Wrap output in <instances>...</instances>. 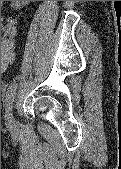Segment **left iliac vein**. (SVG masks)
I'll return each mask as SVG.
<instances>
[{"mask_svg": "<svg viewBox=\"0 0 121 169\" xmlns=\"http://www.w3.org/2000/svg\"><path fill=\"white\" fill-rule=\"evenodd\" d=\"M7 122L10 127H16L17 126V121L14 116V113L11 111L7 115Z\"/></svg>", "mask_w": 121, "mask_h": 169, "instance_id": "4c4485c4", "label": "left iliac vein"}]
</instances>
